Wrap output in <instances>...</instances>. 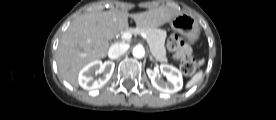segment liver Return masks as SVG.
Returning <instances> with one entry per match:
<instances>
[{
    "label": "liver",
    "mask_w": 276,
    "mask_h": 120,
    "mask_svg": "<svg viewBox=\"0 0 276 120\" xmlns=\"http://www.w3.org/2000/svg\"><path fill=\"white\" fill-rule=\"evenodd\" d=\"M181 12L158 7L146 12L129 14L127 11H94L74 20L63 34L56 53L59 73L73 87H78L80 69L94 60L107 56L109 40L128 27V18L142 28H155Z\"/></svg>",
    "instance_id": "obj_1"
}]
</instances>
